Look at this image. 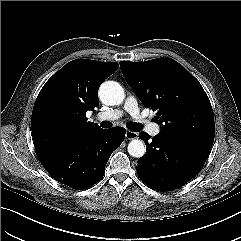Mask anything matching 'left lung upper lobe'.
Segmentation results:
<instances>
[{
	"label": "left lung upper lobe",
	"mask_w": 241,
	"mask_h": 241,
	"mask_svg": "<svg viewBox=\"0 0 241 241\" xmlns=\"http://www.w3.org/2000/svg\"><path fill=\"white\" fill-rule=\"evenodd\" d=\"M124 78L146 107L157 111L160 133L212 145L213 110L204 89L171 58L121 61Z\"/></svg>",
	"instance_id": "5c2ea615"
}]
</instances>
